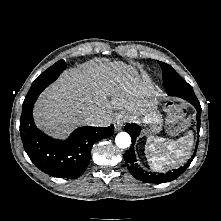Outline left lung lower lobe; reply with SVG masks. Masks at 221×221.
Listing matches in <instances>:
<instances>
[{
    "mask_svg": "<svg viewBox=\"0 0 221 221\" xmlns=\"http://www.w3.org/2000/svg\"><path fill=\"white\" fill-rule=\"evenodd\" d=\"M166 88V92L170 96H176L180 97L189 103H191L197 110V130L199 132L200 129V115H201V106L200 103L194 94V91L192 87L183 79H180L176 81L174 84L169 85ZM126 132H128L131 135L132 138V145L131 148L124 154V159L127 163L128 169L130 173L138 180L149 182V183H164L169 182L174 179H176L178 176H180L186 168L190 165L193 158L195 157V153L191 157V159L185 164L183 167L179 168L178 170H175L174 172L166 173V174H154V173H148L139 168V166L136 163V156L134 153L133 145L135 143L136 138L138 137L140 133V127L136 124H127L125 126ZM198 145V142H197ZM196 145V149H197Z\"/></svg>",
    "mask_w": 221,
    "mask_h": 221,
    "instance_id": "1",
    "label": "left lung lower lobe"
}]
</instances>
